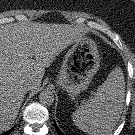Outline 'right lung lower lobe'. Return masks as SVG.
<instances>
[{
	"label": "right lung lower lobe",
	"instance_id": "1",
	"mask_svg": "<svg viewBox=\"0 0 135 135\" xmlns=\"http://www.w3.org/2000/svg\"><path fill=\"white\" fill-rule=\"evenodd\" d=\"M10 132H11V130L8 131V132L3 133V134H1V135H9Z\"/></svg>",
	"mask_w": 135,
	"mask_h": 135
}]
</instances>
